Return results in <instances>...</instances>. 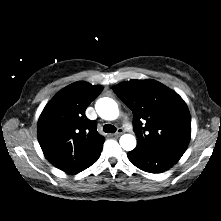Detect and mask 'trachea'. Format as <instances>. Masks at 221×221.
<instances>
[{
  "label": "trachea",
  "instance_id": "3493384b",
  "mask_svg": "<svg viewBox=\"0 0 221 221\" xmlns=\"http://www.w3.org/2000/svg\"><path fill=\"white\" fill-rule=\"evenodd\" d=\"M103 130L106 133H114L116 131V127L111 124H106L104 125Z\"/></svg>",
  "mask_w": 221,
  "mask_h": 221
}]
</instances>
